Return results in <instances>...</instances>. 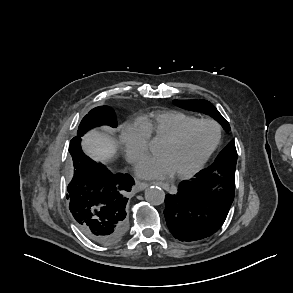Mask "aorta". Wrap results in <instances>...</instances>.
Masks as SVG:
<instances>
[{"label":"aorta","mask_w":293,"mask_h":293,"mask_svg":"<svg viewBox=\"0 0 293 293\" xmlns=\"http://www.w3.org/2000/svg\"><path fill=\"white\" fill-rule=\"evenodd\" d=\"M145 199L153 205H160L164 202L165 192L158 186H151L145 190Z\"/></svg>","instance_id":"1"}]
</instances>
